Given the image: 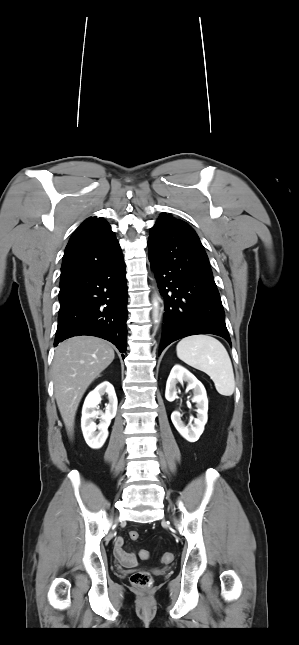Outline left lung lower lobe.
Segmentation results:
<instances>
[{
	"instance_id": "0a47b994",
	"label": "left lung lower lobe",
	"mask_w": 299,
	"mask_h": 645,
	"mask_svg": "<svg viewBox=\"0 0 299 645\" xmlns=\"http://www.w3.org/2000/svg\"><path fill=\"white\" fill-rule=\"evenodd\" d=\"M148 246L165 301L159 353L173 341L195 334H215L231 344L208 257L195 231L180 219L154 225Z\"/></svg>"
}]
</instances>
